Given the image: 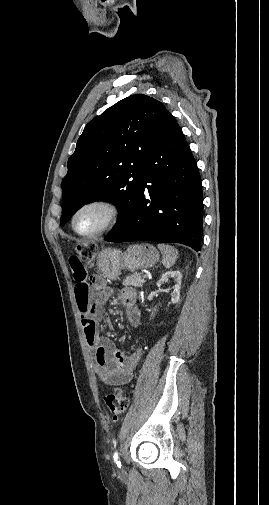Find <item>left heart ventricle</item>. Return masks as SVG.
<instances>
[{"label":"left heart ventricle","mask_w":269,"mask_h":505,"mask_svg":"<svg viewBox=\"0 0 269 505\" xmlns=\"http://www.w3.org/2000/svg\"><path fill=\"white\" fill-rule=\"evenodd\" d=\"M109 218V211L102 206H91L82 210L75 221L81 233H91L103 226Z\"/></svg>","instance_id":"left-heart-ventricle-1"}]
</instances>
